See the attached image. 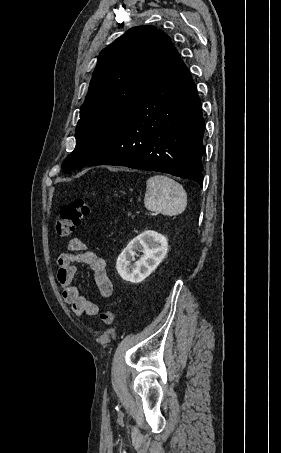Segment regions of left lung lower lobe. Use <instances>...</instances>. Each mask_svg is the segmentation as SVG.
Returning a JSON list of instances; mask_svg holds the SVG:
<instances>
[{
  "label": "left lung lower lobe",
  "instance_id": "left-lung-lower-lobe-1",
  "mask_svg": "<svg viewBox=\"0 0 281 453\" xmlns=\"http://www.w3.org/2000/svg\"><path fill=\"white\" fill-rule=\"evenodd\" d=\"M204 129L196 86L173 48L128 120L86 166L158 171L194 180L202 186Z\"/></svg>",
  "mask_w": 281,
  "mask_h": 453
}]
</instances>
